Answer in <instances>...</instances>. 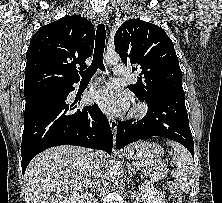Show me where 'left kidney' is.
I'll return each instance as SVG.
<instances>
[{"label": "left kidney", "mask_w": 222, "mask_h": 203, "mask_svg": "<svg viewBox=\"0 0 222 203\" xmlns=\"http://www.w3.org/2000/svg\"><path fill=\"white\" fill-rule=\"evenodd\" d=\"M143 203H166L164 194L156 190L150 184H142L139 186Z\"/></svg>", "instance_id": "obj_1"}]
</instances>
